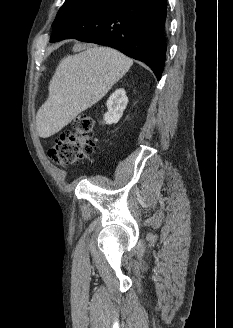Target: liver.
<instances>
[{
  "label": "liver",
  "instance_id": "liver-1",
  "mask_svg": "<svg viewBox=\"0 0 233 328\" xmlns=\"http://www.w3.org/2000/svg\"><path fill=\"white\" fill-rule=\"evenodd\" d=\"M67 55L49 83V96L36 115L41 138L61 131L81 112L97 103L119 81L133 60L109 47H84Z\"/></svg>",
  "mask_w": 233,
  "mask_h": 328
}]
</instances>
